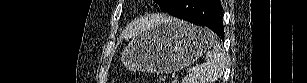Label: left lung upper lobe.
<instances>
[{
  "mask_svg": "<svg viewBox=\"0 0 307 83\" xmlns=\"http://www.w3.org/2000/svg\"><path fill=\"white\" fill-rule=\"evenodd\" d=\"M163 11H167L175 0H154Z\"/></svg>",
  "mask_w": 307,
  "mask_h": 83,
  "instance_id": "left-lung-upper-lobe-1",
  "label": "left lung upper lobe"
}]
</instances>
